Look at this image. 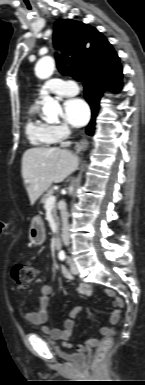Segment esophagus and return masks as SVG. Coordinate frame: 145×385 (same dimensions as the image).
Listing matches in <instances>:
<instances>
[{"instance_id":"34e87169","label":"esophagus","mask_w":145,"mask_h":385,"mask_svg":"<svg viewBox=\"0 0 145 385\" xmlns=\"http://www.w3.org/2000/svg\"><path fill=\"white\" fill-rule=\"evenodd\" d=\"M87 145H88V142H87L86 140H84V141H82L81 144L79 145V148L84 149V148L87 147Z\"/></svg>"}]
</instances>
